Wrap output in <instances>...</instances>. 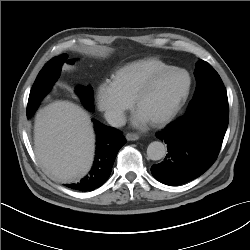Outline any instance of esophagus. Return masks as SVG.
<instances>
[{"mask_svg": "<svg viewBox=\"0 0 250 250\" xmlns=\"http://www.w3.org/2000/svg\"><path fill=\"white\" fill-rule=\"evenodd\" d=\"M126 139H127L128 141H136V140L139 139V135L136 134V133H127V134H126Z\"/></svg>", "mask_w": 250, "mask_h": 250, "instance_id": "34e87169", "label": "esophagus"}]
</instances>
